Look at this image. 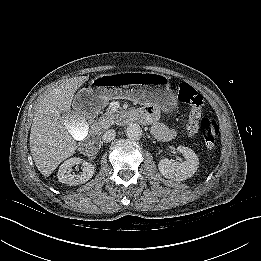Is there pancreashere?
I'll return each mask as SVG.
<instances>
[{"instance_id": "1", "label": "pancreas", "mask_w": 261, "mask_h": 261, "mask_svg": "<svg viewBox=\"0 0 261 261\" xmlns=\"http://www.w3.org/2000/svg\"><path fill=\"white\" fill-rule=\"evenodd\" d=\"M119 118V115L114 113L111 110H107L103 115L99 118V120L94 123V129L97 131L106 130L110 128Z\"/></svg>"}]
</instances>
